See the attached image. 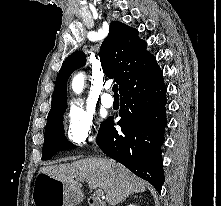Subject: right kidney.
Listing matches in <instances>:
<instances>
[{"label":"right kidney","mask_w":221,"mask_h":206,"mask_svg":"<svg viewBox=\"0 0 221 206\" xmlns=\"http://www.w3.org/2000/svg\"><path fill=\"white\" fill-rule=\"evenodd\" d=\"M127 206H137V205H135V204H129V205H127Z\"/></svg>","instance_id":"obj_1"}]
</instances>
